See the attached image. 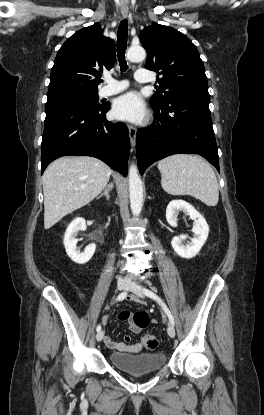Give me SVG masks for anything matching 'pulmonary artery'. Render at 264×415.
Instances as JSON below:
<instances>
[{"label": "pulmonary artery", "mask_w": 264, "mask_h": 415, "mask_svg": "<svg viewBox=\"0 0 264 415\" xmlns=\"http://www.w3.org/2000/svg\"><path fill=\"white\" fill-rule=\"evenodd\" d=\"M135 80L140 83H149L151 76L147 73L138 71L134 76ZM106 86L100 90L101 96H110L125 90L129 86L127 80H117L111 76L105 79Z\"/></svg>", "instance_id": "obj_1"}]
</instances>
